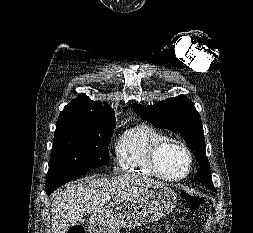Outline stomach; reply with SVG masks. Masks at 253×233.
<instances>
[{
  "label": "stomach",
  "instance_id": "0dacf381",
  "mask_svg": "<svg viewBox=\"0 0 253 233\" xmlns=\"http://www.w3.org/2000/svg\"><path fill=\"white\" fill-rule=\"evenodd\" d=\"M177 205V195L164 185L148 188L117 209L94 214L90 233H119V229L135 228L169 215Z\"/></svg>",
  "mask_w": 253,
  "mask_h": 233
}]
</instances>
